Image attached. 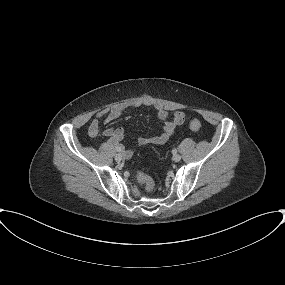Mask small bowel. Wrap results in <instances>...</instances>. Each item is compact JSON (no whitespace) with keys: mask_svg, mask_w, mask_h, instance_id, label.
Here are the masks:
<instances>
[{"mask_svg":"<svg viewBox=\"0 0 285 285\" xmlns=\"http://www.w3.org/2000/svg\"><path fill=\"white\" fill-rule=\"evenodd\" d=\"M141 106H148L154 108L158 114V117L162 119L164 123L162 126L163 132L161 134L156 136L139 137L137 139V142L140 145L165 144L173 135L176 126L182 124L184 121V115L180 111L171 112L167 110L164 106L157 103H153L149 100H134L114 105L108 109L99 112L96 118L89 125V137L96 138L99 135L101 121H103L105 124L110 123L122 116L126 111ZM103 135L108 138L109 145L121 148L122 152H126L128 156H131V151L124 148V146L121 144V141L124 138V130L121 127L106 128L103 131Z\"/></svg>","mask_w":285,"mask_h":285,"instance_id":"1","label":"small bowel"}]
</instances>
